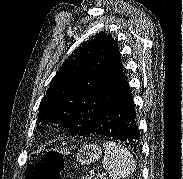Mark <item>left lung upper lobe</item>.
I'll list each match as a JSON object with an SVG mask.
<instances>
[{
  "instance_id": "5c2ea615",
  "label": "left lung upper lobe",
  "mask_w": 183,
  "mask_h": 179,
  "mask_svg": "<svg viewBox=\"0 0 183 179\" xmlns=\"http://www.w3.org/2000/svg\"><path fill=\"white\" fill-rule=\"evenodd\" d=\"M119 49L99 32L69 56L39 105L38 121L59 122L72 135H89L114 103L122 78Z\"/></svg>"
}]
</instances>
